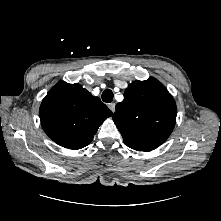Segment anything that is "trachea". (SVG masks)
<instances>
[{
    "label": "trachea",
    "mask_w": 221,
    "mask_h": 221,
    "mask_svg": "<svg viewBox=\"0 0 221 221\" xmlns=\"http://www.w3.org/2000/svg\"><path fill=\"white\" fill-rule=\"evenodd\" d=\"M113 92L110 89H105L102 93V100L106 103H110L113 100Z\"/></svg>",
    "instance_id": "trachea-1"
}]
</instances>
